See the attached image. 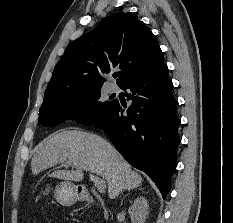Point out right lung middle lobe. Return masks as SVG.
Masks as SVG:
<instances>
[{
    "instance_id": "right-lung-middle-lobe-1",
    "label": "right lung middle lobe",
    "mask_w": 233,
    "mask_h": 223,
    "mask_svg": "<svg viewBox=\"0 0 233 223\" xmlns=\"http://www.w3.org/2000/svg\"><path fill=\"white\" fill-rule=\"evenodd\" d=\"M100 91L101 88H95L42 105L39 110V121L43 126H55L66 120L89 125L102 110L115 102L101 101Z\"/></svg>"
}]
</instances>
